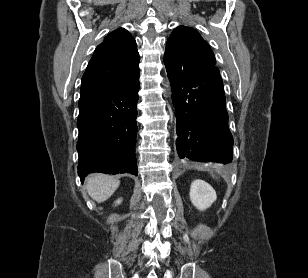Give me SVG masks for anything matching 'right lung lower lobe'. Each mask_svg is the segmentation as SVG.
Listing matches in <instances>:
<instances>
[{
  "mask_svg": "<svg viewBox=\"0 0 308 278\" xmlns=\"http://www.w3.org/2000/svg\"><path fill=\"white\" fill-rule=\"evenodd\" d=\"M139 76L111 93L80 97L78 175L91 172L137 175L135 143Z\"/></svg>",
  "mask_w": 308,
  "mask_h": 278,
  "instance_id": "98d812e1",
  "label": "right lung lower lobe"
}]
</instances>
